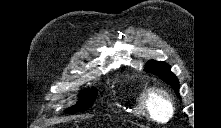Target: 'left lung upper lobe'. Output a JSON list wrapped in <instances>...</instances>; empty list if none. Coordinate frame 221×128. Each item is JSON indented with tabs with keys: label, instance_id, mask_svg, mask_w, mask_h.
<instances>
[{
	"label": "left lung upper lobe",
	"instance_id": "1",
	"mask_svg": "<svg viewBox=\"0 0 221 128\" xmlns=\"http://www.w3.org/2000/svg\"><path fill=\"white\" fill-rule=\"evenodd\" d=\"M171 67L165 62L150 60L146 66L145 71L159 76L160 79L170 84L175 92L179 95V83L176 76L170 71Z\"/></svg>",
	"mask_w": 221,
	"mask_h": 128
}]
</instances>
